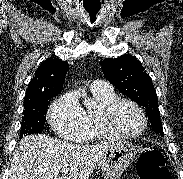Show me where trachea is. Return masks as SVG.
I'll list each match as a JSON object with an SVG mask.
<instances>
[{
    "label": "trachea",
    "mask_w": 183,
    "mask_h": 179,
    "mask_svg": "<svg viewBox=\"0 0 183 179\" xmlns=\"http://www.w3.org/2000/svg\"><path fill=\"white\" fill-rule=\"evenodd\" d=\"M89 15H90V18L92 19V17L95 18L96 13L95 14H90V12H89Z\"/></svg>",
    "instance_id": "obj_1"
}]
</instances>
